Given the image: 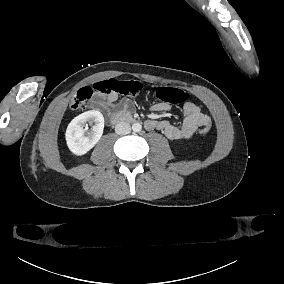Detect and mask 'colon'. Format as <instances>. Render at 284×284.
Wrapping results in <instances>:
<instances>
[{"instance_id":"5ec220e1","label":"colon","mask_w":284,"mask_h":284,"mask_svg":"<svg viewBox=\"0 0 284 284\" xmlns=\"http://www.w3.org/2000/svg\"><path fill=\"white\" fill-rule=\"evenodd\" d=\"M145 88V82L142 80H103L86 85L81 88L71 99V108L79 109L85 105L95 94L117 93L126 96H134ZM157 97H159L157 95ZM161 98L164 102L172 105H184L189 100V95L184 90H176L172 87H166L161 92ZM213 125L207 122L200 133L208 135Z\"/></svg>"}]
</instances>
